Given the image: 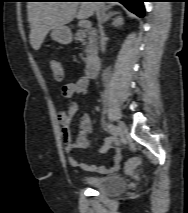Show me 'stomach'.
<instances>
[{
	"label": "stomach",
	"mask_w": 188,
	"mask_h": 213,
	"mask_svg": "<svg viewBox=\"0 0 188 213\" xmlns=\"http://www.w3.org/2000/svg\"><path fill=\"white\" fill-rule=\"evenodd\" d=\"M51 38L60 44L67 45L72 41V33L67 26L63 25L52 29Z\"/></svg>",
	"instance_id": "1"
}]
</instances>
